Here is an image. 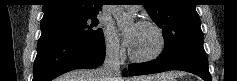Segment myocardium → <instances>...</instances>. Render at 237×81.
Returning a JSON list of instances; mask_svg holds the SVG:
<instances>
[{
	"label": "myocardium",
	"mask_w": 237,
	"mask_h": 81,
	"mask_svg": "<svg viewBox=\"0 0 237 81\" xmlns=\"http://www.w3.org/2000/svg\"><path fill=\"white\" fill-rule=\"evenodd\" d=\"M138 25L140 26H145V27H150L151 29H153V31L155 32L157 38H158V46L157 48L144 56H138L136 54H134L131 50V48H129L128 52H129V57L131 60L135 61V62H149L152 61L156 58H158L164 51L165 46H166V39H165V35L162 31V29L155 24L152 21H148V20H141L138 22Z\"/></svg>",
	"instance_id": "f54148a6"
}]
</instances>
